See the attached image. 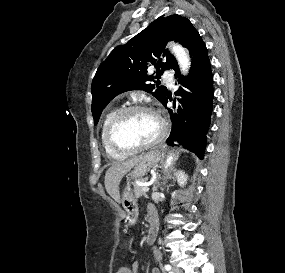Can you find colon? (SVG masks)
<instances>
[{
  "label": "colon",
  "mask_w": 285,
  "mask_h": 273,
  "mask_svg": "<svg viewBox=\"0 0 285 273\" xmlns=\"http://www.w3.org/2000/svg\"><path fill=\"white\" fill-rule=\"evenodd\" d=\"M116 273H126V269L123 267H120Z\"/></svg>",
  "instance_id": "5ec220e1"
}]
</instances>
